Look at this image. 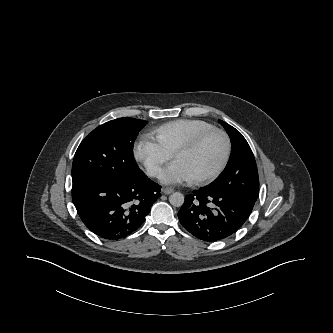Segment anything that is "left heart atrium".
Here are the masks:
<instances>
[{
	"instance_id": "obj_1",
	"label": "left heart atrium",
	"mask_w": 333,
	"mask_h": 333,
	"mask_svg": "<svg viewBox=\"0 0 333 333\" xmlns=\"http://www.w3.org/2000/svg\"><path fill=\"white\" fill-rule=\"evenodd\" d=\"M162 180L165 183H181L192 180L190 174L178 162H173L165 171Z\"/></svg>"
}]
</instances>
